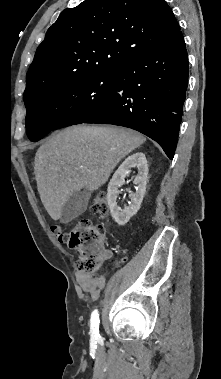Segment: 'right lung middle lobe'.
Listing matches in <instances>:
<instances>
[{"mask_svg": "<svg viewBox=\"0 0 221 379\" xmlns=\"http://www.w3.org/2000/svg\"><path fill=\"white\" fill-rule=\"evenodd\" d=\"M118 69L76 77L55 85L26 102V131L38 141L50 131L86 119L105 105L110 97Z\"/></svg>", "mask_w": 221, "mask_h": 379, "instance_id": "obj_1", "label": "right lung middle lobe"}]
</instances>
